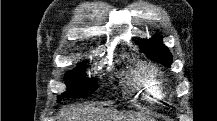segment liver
<instances>
[{
	"label": "liver",
	"instance_id": "liver-1",
	"mask_svg": "<svg viewBox=\"0 0 217 121\" xmlns=\"http://www.w3.org/2000/svg\"><path fill=\"white\" fill-rule=\"evenodd\" d=\"M106 112L99 111L90 107H79L73 112L61 113L58 117L60 121H104L103 115Z\"/></svg>",
	"mask_w": 217,
	"mask_h": 121
}]
</instances>
